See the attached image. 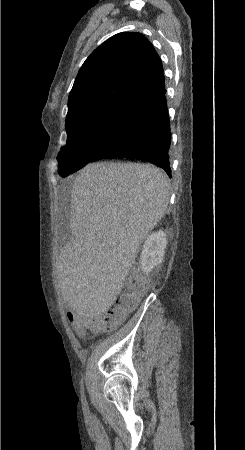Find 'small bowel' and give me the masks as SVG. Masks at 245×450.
I'll list each match as a JSON object with an SVG mask.
<instances>
[{
  "mask_svg": "<svg viewBox=\"0 0 245 450\" xmlns=\"http://www.w3.org/2000/svg\"><path fill=\"white\" fill-rule=\"evenodd\" d=\"M77 281L73 280L72 284L76 285ZM67 319L70 321V323L72 324L73 329L77 332V334L80 337H84V331H81L78 326L80 325L81 321H82V317L80 314H78L77 312L74 311V309L72 308L71 305L68 306V311H67Z\"/></svg>",
  "mask_w": 245,
  "mask_h": 450,
  "instance_id": "small-bowel-1",
  "label": "small bowel"
}]
</instances>
